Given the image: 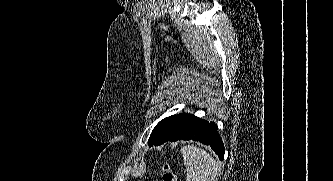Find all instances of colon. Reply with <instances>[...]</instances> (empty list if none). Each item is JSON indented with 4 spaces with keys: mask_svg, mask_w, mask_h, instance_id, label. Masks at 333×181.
Here are the masks:
<instances>
[{
    "mask_svg": "<svg viewBox=\"0 0 333 181\" xmlns=\"http://www.w3.org/2000/svg\"><path fill=\"white\" fill-rule=\"evenodd\" d=\"M162 181H177V175L169 163H165L163 166Z\"/></svg>",
    "mask_w": 333,
    "mask_h": 181,
    "instance_id": "colon-1",
    "label": "colon"
}]
</instances>
